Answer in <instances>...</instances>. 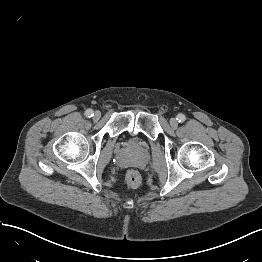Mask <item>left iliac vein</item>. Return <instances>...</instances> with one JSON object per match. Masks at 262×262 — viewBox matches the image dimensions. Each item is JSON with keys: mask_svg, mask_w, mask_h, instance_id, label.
<instances>
[{"mask_svg": "<svg viewBox=\"0 0 262 262\" xmlns=\"http://www.w3.org/2000/svg\"><path fill=\"white\" fill-rule=\"evenodd\" d=\"M170 125H171L172 128H177L178 127L177 119H175V118L170 119Z\"/></svg>", "mask_w": 262, "mask_h": 262, "instance_id": "left-iliac-vein-1", "label": "left iliac vein"}]
</instances>
